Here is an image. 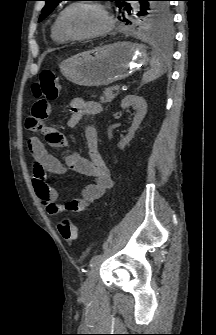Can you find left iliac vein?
<instances>
[{
  "mask_svg": "<svg viewBox=\"0 0 216 335\" xmlns=\"http://www.w3.org/2000/svg\"><path fill=\"white\" fill-rule=\"evenodd\" d=\"M99 268H100V261H98L97 263H95L92 266V269L89 272L88 278L86 279V281L84 282V284L81 288V294L83 296H88L93 292L94 287H95V283H96V279H97L98 274H99Z\"/></svg>",
  "mask_w": 216,
  "mask_h": 335,
  "instance_id": "1",
  "label": "left iliac vein"
}]
</instances>
